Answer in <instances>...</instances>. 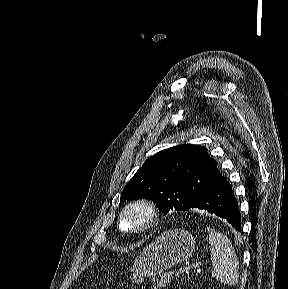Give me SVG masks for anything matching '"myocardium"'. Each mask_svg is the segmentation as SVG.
Masks as SVG:
<instances>
[{"label":"myocardium","instance_id":"f54148a6","mask_svg":"<svg viewBox=\"0 0 288 289\" xmlns=\"http://www.w3.org/2000/svg\"><path fill=\"white\" fill-rule=\"evenodd\" d=\"M132 211L141 212L143 219L139 225L132 229H125L122 226L126 214ZM159 208L157 204L148 198H137L128 202L120 211L118 217V229L127 235H138L147 232L155 226L159 218Z\"/></svg>","mask_w":288,"mask_h":289}]
</instances>
